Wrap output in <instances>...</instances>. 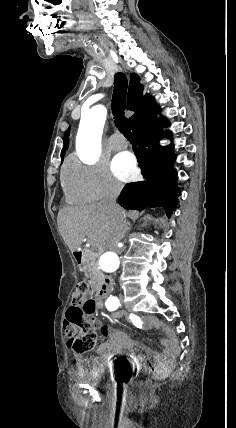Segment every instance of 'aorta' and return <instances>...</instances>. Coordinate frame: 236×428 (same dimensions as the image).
Masks as SVG:
<instances>
[{
    "instance_id": "1",
    "label": "aorta",
    "mask_w": 236,
    "mask_h": 428,
    "mask_svg": "<svg viewBox=\"0 0 236 428\" xmlns=\"http://www.w3.org/2000/svg\"><path fill=\"white\" fill-rule=\"evenodd\" d=\"M106 115V108L102 105H96L81 116L76 147L84 162L93 163L100 155L101 137ZM119 265V257L114 251L105 252L100 258L99 266L104 272H115Z\"/></svg>"
}]
</instances>
